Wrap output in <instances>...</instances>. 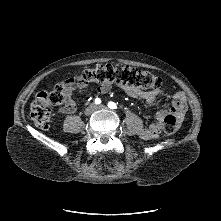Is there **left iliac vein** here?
<instances>
[{
    "mask_svg": "<svg viewBox=\"0 0 221 221\" xmlns=\"http://www.w3.org/2000/svg\"><path fill=\"white\" fill-rule=\"evenodd\" d=\"M105 109H107V107L104 105H99L95 107V110H105Z\"/></svg>",
    "mask_w": 221,
    "mask_h": 221,
    "instance_id": "obj_1",
    "label": "left iliac vein"
}]
</instances>
